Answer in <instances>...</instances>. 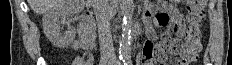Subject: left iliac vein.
<instances>
[{
    "mask_svg": "<svg viewBox=\"0 0 232 65\" xmlns=\"http://www.w3.org/2000/svg\"><path fill=\"white\" fill-rule=\"evenodd\" d=\"M115 65H121V64L117 62Z\"/></svg>",
    "mask_w": 232,
    "mask_h": 65,
    "instance_id": "obj_1",
    "label": "left iliac vein"
}]
</instances>
